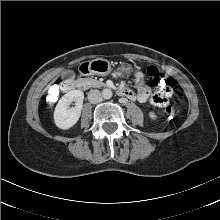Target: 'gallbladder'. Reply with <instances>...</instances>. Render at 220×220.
<instances>
[{"label": "gallbladder", "instance_id": "obj_1", "mask_svg": "<svg viewBox=\"0 0 220 220\" xmlns=\"http://www.w3.org/2000/svg\"><path fill=\"white\" fill-rule=\"evenodd\" d=\"M65 77L73 78L75 76V73L73 71H68L64 74Z\"/></svg>", "mask_w": 220, "mask_h": 220}]
</instances>
